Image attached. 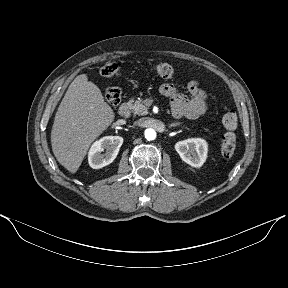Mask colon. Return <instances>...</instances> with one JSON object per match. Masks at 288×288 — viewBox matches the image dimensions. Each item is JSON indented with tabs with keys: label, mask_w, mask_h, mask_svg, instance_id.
<instances>
[{
	"label": "colon",
	"mask_w": 288,
	"mask_h": 288,
	"mask_svg": "<svg viewBox=\"0 0 288 288\" xmlns=\"http://www.w3.org/2000/svg\"><path fill=\"white\" fill-rule=\"evenodd\" d=\"M120 67L115 62H107L100 68V74L103 77H113L119 74ZM156 74L163 78L169 79L174 74V67L166 62H162L155 67ZM122 91L119 87H108L104 91V95L108 103L116 105L121 99ZM222 123L227 132L224 134L221 142V153L224 157H231L236 149V136L233 130L238 125V116L234 110H228L222 117Z\"/></svg>",
	"instance_id": "1"
}]
</instances>
